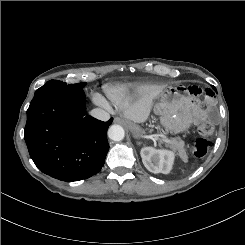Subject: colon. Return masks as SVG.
<instances>
[{
	"mask_svg": "<svg viewBox=\"0 0 245 245\" xmlns=\"http://www.w3.org/2000/svg\"><path fill=\"white\" fill-rule=\"evenodd\" d=\"M215 131L214 125L209 121H204L199 127L200 136L196 138L193 144V154L198 157H204L210 147L208 136L212 135Z\"/></svg>",
	"mask_w": 245,
	"mask_h": 245,
	"instance_id": "colon-1",
	"label": "colon"
}]
</instances>
